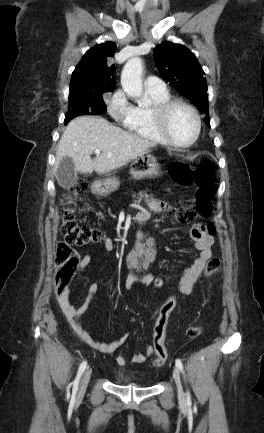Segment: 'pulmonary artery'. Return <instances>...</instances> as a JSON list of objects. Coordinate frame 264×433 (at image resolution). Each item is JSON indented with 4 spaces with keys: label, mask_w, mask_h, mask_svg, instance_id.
<instances>
[{
    "label": "pulmonary artery",
    "mask_w": 264,
    "mask_h": 433,
    "mask_svg": "<svg viewBox=\"0 0 264 433\" xmlns=\"http://www.w3.org/2000/svg\"><path fill=\"white\" fill-rule=\"evenodd\" d=\"M145 87L149 92L165 93L167 92L165 82L155 76H149L145 79Z\"/></svg>",
    "instance_id": "1"
}]
</instances>
